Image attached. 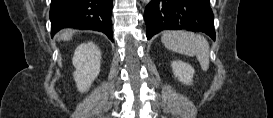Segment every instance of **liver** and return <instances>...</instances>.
I'll return each mask as SVG.
<instances>
[{
  "label": "liver",
  "mask_w": 273,
  "mask_h": 118,
  "mask_svg": "<svg viewBox=\"0 0 273 118\" xmlns=\"http://www.w3.org/2000/svg\"><path fill=\"white\" fill-rule=\"evenodd\" d=\"M72 35H73V32L71 30H65L60 35V39L68 41L72 38Z\"/></svg>",
  "instance_id": "1"
}]
</instances>
